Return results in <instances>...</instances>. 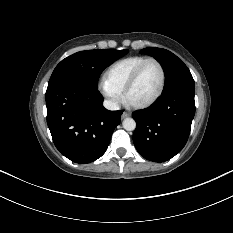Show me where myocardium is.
Instances as JSON below:
<instances>
[{
  "label": "myocardium",
  "mask_w": 233,
  "mask_h": 233,
  "mask_svg": "<svg viewBox=\"0 0 233 233\" xmlns=\"http://www.w3.org/2000/svg\"><path fill=\"white\" fill-rule=\"evenodd\" d=\"M150 63H155L158 65V67L160 68L161 71V84H160V88L157 91V93L148 101L141 103V104H132L129 102L128 100V94L130 92V90L133 88V86L135 85V83L137 82V80L139 79V77L141 76L143 70L145 69V67L150 64ZM166 86V70L164 65L156 58H148L147 60H145L144 62H142L136 69L135 71L132 73V75L130 76V78L128 79L125 87H124V99L125 101L133 108L135 109H145L150 107L151 105H153L163 94L164 89Z\"/></svg>",
  "instance_id": "obj_1"
}]
</instances>
